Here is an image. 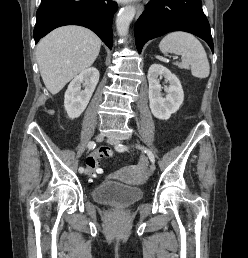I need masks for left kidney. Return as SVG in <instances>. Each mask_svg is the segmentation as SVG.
Here are the masks:
<instances>
[{"label": "left kidney", "mask_w": 248, "mask_h": 258, "mask_svg": "<svg viewBox=\"0 0 248 258\" xmlns=\"http://www.w3.org/2000/svg\"><path fill=\"white\" fill-rule=\"evenodd\" d=\"M159 77L169 83L164 90L167 93L165 97L161 94V85ZM149 82V106L152 114L160 119L167 120L171 114L176 113L184 100L182 85L177 76L166 67L160 64H153L148 71Z\"/></svg>", "instance_id": "1"}]
</instances>
